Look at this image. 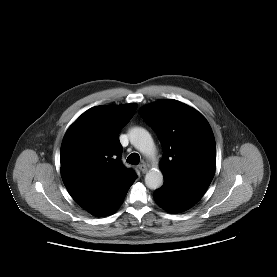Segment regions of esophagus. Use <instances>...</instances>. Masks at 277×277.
Wrapping results in <instances>:
<instances>
[{"instance_id":"esophagus-1","label":"esophagus","mask_w":277,"mask_h":277,"mask_svg":"<svg viewBox=\"0 0 277 277\" xmlns=\"http://www.w3.org/2000/svg\"><path fill=\"white\" fill-rule=\"evenodd\" d=\"M138 168L140 169V171L142 172V173H146L147 171H148V166L146 165V164H140L139 166H138Z\"/></svg>"}]
</instances>
